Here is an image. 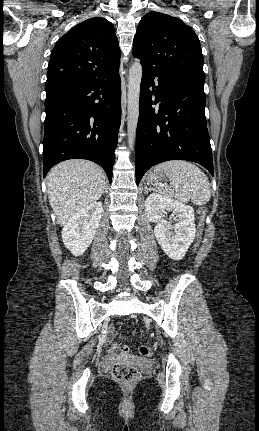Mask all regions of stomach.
<instances>
[{
	"mask_svg": "<svg viewBox=\"0 0 259 431\" xmlns=\"http://www.w3.org/2000/svg\"><path fill=\"white\" fill-rule=\"evenodd\" d=\"M168 174L165 171H155L151 170L146 176V181L148 183H157L163 180Z\"/></svg>",
	"mask_w": 259,
	"mask_h": 431,
	"instance_id": "obj_1",
	"label": "stomach"
}]
</instances>
